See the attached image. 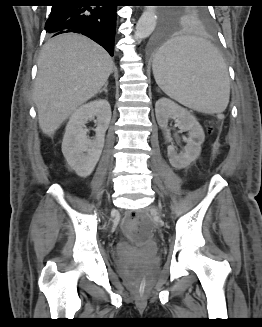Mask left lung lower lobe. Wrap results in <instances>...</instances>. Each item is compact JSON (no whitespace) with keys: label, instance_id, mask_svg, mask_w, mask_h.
<instances>
[{"label":"left lung lower lobe","instance_id":"0a47b994","mask_svg":"<svg viewBox=\"0 0 262 327\" xmlns=\"http://www.w3.org/2000/svg\"><path fill=\"white\" fill-rule=\"evenodd\" d=\"M168 39V30L160 27L152 36L149 41V49L153 51H158Z\"/></svg>","mask_w":262,"mask_h":327}]
</instances>
